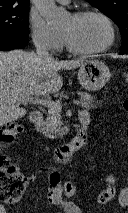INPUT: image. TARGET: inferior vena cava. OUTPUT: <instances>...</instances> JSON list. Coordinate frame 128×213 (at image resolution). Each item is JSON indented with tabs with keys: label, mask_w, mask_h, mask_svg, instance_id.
Here are the masks:
<instances>
[{
	"label": "inferior vena cava",
	"mask_w": 128,
	"mask_h": 213,
	"mask_svg": "<svg viewBox=\"0 0 128 213\" xmlns=\"http://www.w3.org/2000/svg\"><path fill=\"white\" fill-rule=\"evenodd\" d=\"M35 44H36L37 56L44 61H51L52 57L48 52L47 43L43 39H40V40L36 41Z\"/></svg>",
	"instance_id": "1"
}]
</instances>
